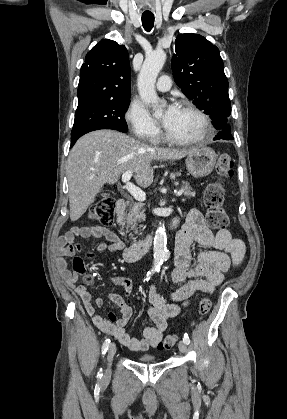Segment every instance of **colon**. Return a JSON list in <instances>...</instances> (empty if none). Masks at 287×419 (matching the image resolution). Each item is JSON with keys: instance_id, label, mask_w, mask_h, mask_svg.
<instances>
[{"instance_id": "colon-1", "label": "colon", "mask_w": 287, "mask_h": 419, "mask_svg": "<svg viewBox=\"0 0 287 419\" xmlns=\"http://www.w3.org/2000/svg\"><path fill=\"white\" fill-rule=\"evenodd\" d=\"M217 171L222 177H231L233 175V159L231 155L223 153L219 156L217 162ZM225 188L221 182H212L204 190V204L207 211V221L214 229H225L228 224V216L223 208ZM92 220L98 221L104 225H112L115 221V201L113 198H103L99 200L90 210L89 214ZM71 247L73 245L71 244ZM73 269L76 273H82L85 270V262L81 257H75L73 260ZM210 299L203 298L199 302L198 312L200 315H206L211 309ZM178 340L176 334H169L161 339L157 344L159 350L171 349Z\"/></svg>"}]
</instances>
